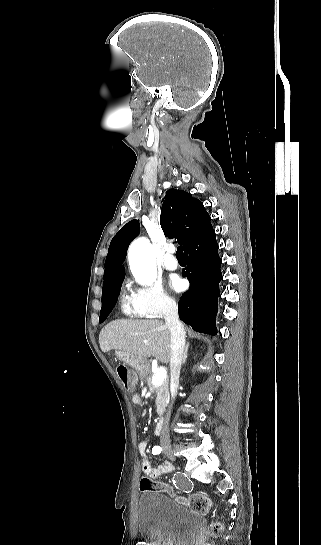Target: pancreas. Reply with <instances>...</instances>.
Returning a JSON list of instances; mask_svg holds the SVG:
<instances>
[{
	"label": "pancreas",
	"instance_id": "cf45deb5",
	"mask_svg": "<svg viewBox=\"0 0 321 545\" xmlns=\"http://www.w3.org/2000/svg\"><path fill=\"white\" fill-rule=\"evenodd\" d=\"M151 369L149 367L148 371H146L145 375H142L143 379H145L148 389L150 393H156V407H157V413L159 417H162L165 407L167 405V401L169 399V385H168V379H165L163 381L162 385H153L152 379H151Z\"/></svg>",
	"mask_w": 321,
	"mask_h": 545
}]
</instances>
